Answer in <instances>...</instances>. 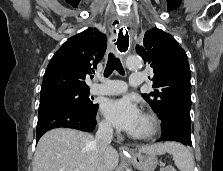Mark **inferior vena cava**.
I'll return each mask as SVG.
<instances>
[{
  "mask_svg": "<svg viewBox=\"0 0 223 171\" xmlns=\"http://www.w3.org/2000/svg\"><path fill=\"white\" fill-rule=\"evenodd\" d=\"M113 137V129L111 125L106 123L99 124L95 137L96 144V160L93 171H106L103 161V152L110 145Z\"/></svg>",
  "mask_w": 223,
  "mask_h": 171,
  "instance_id": "1",
  "label": "inferior vena cava"
}]
</instances>
